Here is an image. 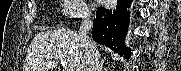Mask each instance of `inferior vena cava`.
I'll return each instance as SVG.
<instances>
[{
  "instance_id": "602c4592",
  "label": "inferior vena cava",
  "mask_w": 181,
  "mask_h": 71,
  "mask_svg": "<svg viewBox=\"0 0 181 71\" xmlns=\"http://www.w3.org/2000/svg\"><path fill=\"white\" fill-rule=\"evenodd\" d=\"M93 26V16L88 14L81 21L78 30L81 45L85 49L86 62L84 71H101L100 55L96 43L89 38L88 34Z\"/></svg>"
}]
</instances>
